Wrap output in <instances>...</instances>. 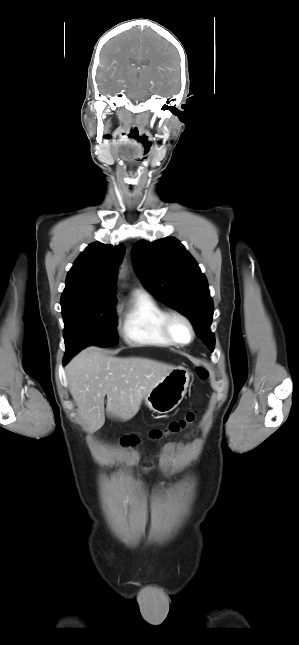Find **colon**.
Returning <instances> with one entry per match:
<instances>
[{"instance_id":"5ec220e1","label":"colon","mask_w":299,"mask_h":645,"mask_svg":"<svg viewBox=\"0 0 299 645\" xmlns=\"http://www.w3.org/2000/svg\"><path fill=\"white\" fill-rule=\"evenodd\" d=\"M197 375L201 379H207L209 376V371L204 365H200L196 369ZM196 420L195 412L187 413L183 418L170 422L163 429H152L149 433V437L152 440L159 441L163 437L168 435L178 434L188 427H190ZM139 443V438L135 435H129L122 438V444L125 446H136Z\"/></svg>"}]
</instances>
